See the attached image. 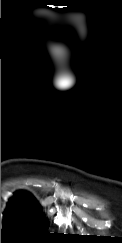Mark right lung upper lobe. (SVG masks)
<instances>
[{
	"mask_svg": "<svg viewBox=\"0 0 122 243\" xmlns=\"http://www.w3.org/2000/svg\"><path fill=\"white\" fill-rule=\"evenodd\" d=\"M10 202H18L28 206H32L34 208L40 207L39 205H37L35 199L25 192H17L15 196L10 200Z\"/></svg>",
	"mask_w": 122,
	"mask_h": 243,
	"instance_id": "cb5924a9",
	"label": "right lung upper lobe"
}]
</instances>
